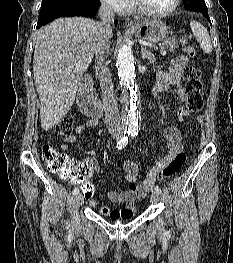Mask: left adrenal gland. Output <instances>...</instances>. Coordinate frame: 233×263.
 <instances>
[{"mask_svg":"<svg viewBox=\"0 0 233 263\" xmlns=\"http://www.w3.org/2000/svg\"><path fill=\"white\" fill-rule=\"evenodd\" d=\"M141 55L142 58L147 59L149 63H154L156 61L155 55L144 47H141Z\"/></svg>","mask_w":233,"mask_h":263,"instance_id":"1","label":"left adrenal gland"}]
</instances>
